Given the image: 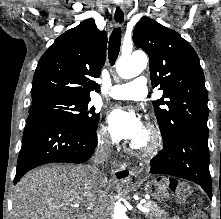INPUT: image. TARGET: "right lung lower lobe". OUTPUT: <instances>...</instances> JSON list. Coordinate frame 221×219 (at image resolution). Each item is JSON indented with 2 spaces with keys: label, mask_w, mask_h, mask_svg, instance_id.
I'll list each match as a JSON object with an SVG mask.
<instances>
[{
  "label": "right lung lower lobe",
  "mask_w": 221,
  "mask_h": 219,
  "mask_svg": "<svg viewBox=\"0 0 221 219\" xmlns=\"http://www.w3.org/2000/svg\"><path fill=\"white\" fill-rule=\"evenodd\" d=\"M97 146L96 131L76 127L54 116L29 114L14 184L29 170L47 163L87 161Z\"/></svg>",
  "instance_id": "obj_1"
}]
</instances>
